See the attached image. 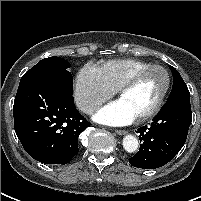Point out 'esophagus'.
<instances>
[{
	"instance_id": "1",
	"label": "esophagus",
	"mask_w": 201,
	"mask_h": 201,
	"mask_svg": "<svg viewBox=\"0 0 201 201\" xmlns=\"http://www.w3.org/2000/svg\"><path fill=\"white\" fill-rule=\"evenodd\" d=\"M115 132L118 134V135H124L127 133L126 130H115Z\"/></svg>"
}]
</instances>
